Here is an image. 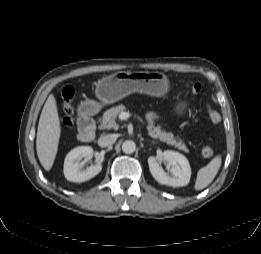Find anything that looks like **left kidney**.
Here are the masks:
<instances>
[{"label":"left kidney","instance_id":"1","mask_svg":"<svg viewBox=\"0 0 261 254\" xmlns=\"http://www.w3.org/2000/svg\"><path fill=\"white\" fill-rule=\"evenodd\" d=\"M162 159L170 167L171 174L163 170L157 157L151 156L148 158V165L153 178L163 185L186 186L191 178V168L187 158L178 152L166 150L162 153Z\"/></svg>","mask_w":261,"mask_h":254}]
</instances>
